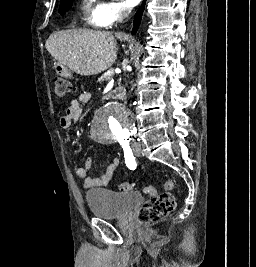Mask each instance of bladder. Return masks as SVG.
Wrapping results in <instances>:
<instances>
[{
  "instance_id": "obj_1",
  "label": "bladder",
  "mask_w": 256,
  "mask_h": 267,
  "mask_svg": "<svg viewBox=\"0 0 256 267\" xmlns=\"http://www.w3.org/2000/svg\"><path fill=\"white\" fill-rule=\"evenodd\" d=\"M86 200L92 215L107 219L127 216L143 203L144 198L143 195H122L115 191L94 189L86 192Z\"/></svg>"
}]
</instances>
